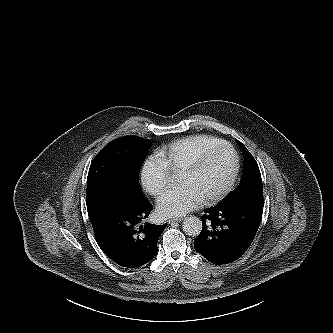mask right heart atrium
<instances>
[{"label":"right heart atrium","mask_w":333,"mask_h":333,"mask_svg":"<svg viewBox=\"0 0 333 333\" xmlns=\"http://www.w3.org/2000/svg\"><path fill=\"white\" fill-rule=\"evenodd\" d=\"M140 182L143 189L158 196L170 182V169L159 154L149 155L140 170Z\"/></svg>","instance_id":"right-heart-atrium-1"}]
</instances>
